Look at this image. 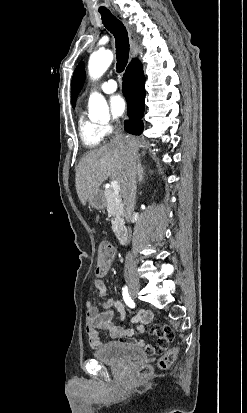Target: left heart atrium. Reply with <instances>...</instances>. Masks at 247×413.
Returning <instances> with one entry per match:
<instances>
[{"label": "left heart atrium", "mask_w": 247, "mask_h": 413, "mask_svg": "<svg viewBox=\"0 0 247 413\" xmlns=\"http://www.w3.org/2000/svg\"><path fill=\"white\" fill-rule=\"evenodd\" d=\"M109 107L115 117H120L126 111L125 99L120 94L112 95L109 100Z\"/></svg>", "instance_id": "1"}]
</instances>
